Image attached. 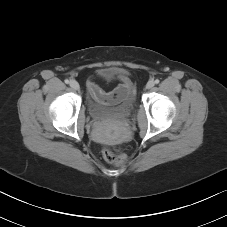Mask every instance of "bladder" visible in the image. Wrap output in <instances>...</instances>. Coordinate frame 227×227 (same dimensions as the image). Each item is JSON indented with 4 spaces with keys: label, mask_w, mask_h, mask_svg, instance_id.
I'll use <instances>...</instances> for the list:
<instances>
[{
    "label": "bladder",
    "mask_w": 227,
    "mask_h": 227,
    "mask_svg": "<svg viewBox=\"0 0 227 227\" xmlns=\"http://www.w3.org/2000/svg\"><path fill=\"white\" fill-rule=\"evenodd\" d=\"M90 116L96 121H106L128 116L135 106V96L132 87L118 102L103 103L89 100L87 103Z\"/></svg>",
    "instance_id": "31cf9c89"
}]
</instances>
